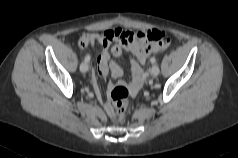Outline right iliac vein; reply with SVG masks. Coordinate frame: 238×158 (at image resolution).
I'll return each instance as SVG.
<instances>
[{"instance_id": "right-iliac-vein-1", "label": "right iliac vein", "mask_w": 238, "mask_h": 158, "mask_svg": "<svg viewBox=\"0 0 238 158\" xmlns=\"http://www.w3.org/2000/svg\"><path fill=\"white\" fill-rule=\"evenodd\" d=\"M89 70V65L86 61L82 62L80 65V71L86 73Z\"/></svg>"}]
</instances>
